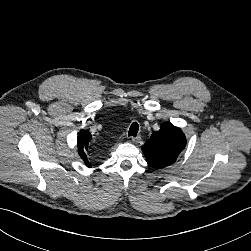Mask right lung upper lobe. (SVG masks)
<instances>
[{
	"instance_id": "1",
	"label": "right lung upper lobe",
	"mask_w": 251,
	"mask_h": 251,
	"mask_svg": "<svg viewBox=\"0 0 251 251\" xmlns=\"http://www.w3.org/2000/svg\"><path fill=\"white\" fill-rule=\"evenodd\" d=\"M91 138L92 137H91L90 132H88L86 130H81L79 132L78 140H77L79 155L83 159V161L85 162L86 166H88V167H91V164L87 158L86 150H87V147H88V144H89Z\"/></svg>"
}]
</instances>
